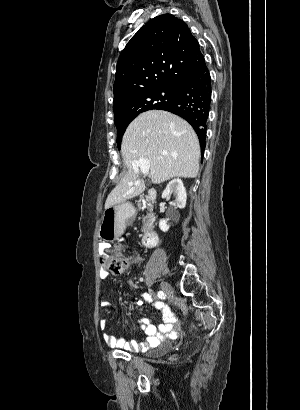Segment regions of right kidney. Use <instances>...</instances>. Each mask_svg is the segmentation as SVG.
Returning a JSON list of instances; mask_svg holds the SVG:
<instances>
[{"label": "right kidney", "mask_w": 300, "mask_h": 410, "mask_svg": "<svg viewBox=\"0 0 300 410\" xmlns=\"http://www.w3.org/2000/svg\"><path fill=\"white\" fill-rule=\"evenodd\" d=\"M171 194L174 195L175 200L172 202V204L179 209H183L186 206V199H187V194L185 187L183 185V182L181 179L176 178L171 180L165 190L162 193V198L165 199H170ZM169 224H167L166 220H160L159 222V228L163 231L166 232L169 229Z\"/></svg>", "instance_id": "obj_1"}]
</instances>
